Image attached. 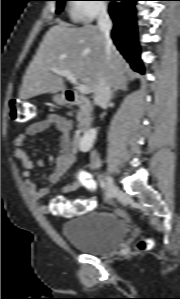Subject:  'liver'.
Here are the masks:
<instances>
[{"instance_id":"6515ba94","label":"liver","mask_w":180,"mask_h":299,"mask_svg":"<svg viewBox=\"0 0 180 299\" xmlns=\"http://www.w3.org/2000/svg\"><path fill=\"white\" fill-rule=\"evenodd\" d=\"M51 68L70 71L89 88V93L96 92L101 75L114 89L124 86L128 71L123 57L113 44L107 46L97 26L71 27L64 22L51 27L44 36L23 77L20 98L64 92V78Z\"/></svg>"}]
</instances>
